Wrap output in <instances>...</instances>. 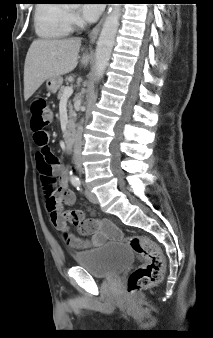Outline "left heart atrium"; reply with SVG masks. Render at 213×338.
Masks as SVG:
<instances>
[{
	"label": "left heart atrium",
	"instance_id": "39dd6f15",
	"mask_svg": "<svg viewBox=\"0 0 213 338\" xmlns=\"http://www.w3.org/2000/svg\"><path fill=\"white\" fill-rule=\"evenodd\" d=\"M81 8L83 17L88 21H94L101 14L102 6L95 4H82Z\"/></svg>",
	"mask_w": 213,
	"mask_h": 338
}]
</instances>
